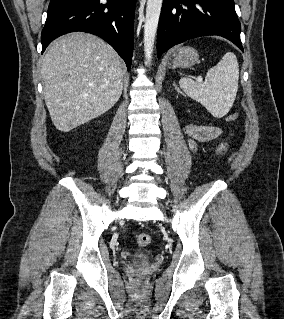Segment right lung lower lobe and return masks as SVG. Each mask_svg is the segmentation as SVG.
<instances>
[{"mask_svg": "<svg viewBox=\"0 0 284 319\" xmlns=\"http://www.w3.org/2000/svg\"><path fill=\"white\" fill-rule=\"evenodd\" d=\"M135 0H50L41 34L42 53L55 38L74 31L97 35L124 59L133 54Z\"/></svg>", "mask_w": 284, "mask_h": 319, "instance_id": "1", "label": "right lung lower lobe"}]
</instances>
